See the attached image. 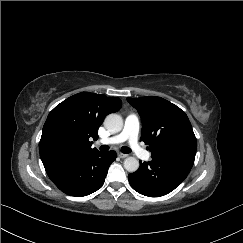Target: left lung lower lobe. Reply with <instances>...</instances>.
<instances>
[{
  "mask_svg": "<svg viewBox=\"0 0 243 243\" xmlns=\"http://www.w3.org/2000/svg\"><path fill=\"white\" fill-rule=\"evenodd\" d=\"M194 152L169 153L149 162L140 161L139 169L128 175L131 187L138 193L159 197L173 191L189 174Z\"/></svg>",
  "mask_w": 243,
  "mask_h": 243,
  "instance_id": "0a47b994",
  "label": "left lung lower lobe"
}]
</instances>
